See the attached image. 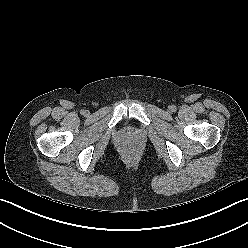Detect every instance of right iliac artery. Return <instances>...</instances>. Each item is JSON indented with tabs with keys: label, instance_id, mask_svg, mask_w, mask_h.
Listing matches in <instances>:
<instances>
[{
	"label": "right iliac artery",
	"instance_id": "obj_1",
	"mask_svg": "<svg viewBox=\"0 0 248 248\" xmlns=\"http://www.w3.org/2000/svg\"><path fill=\"white\" fill-rule=\"evenodd\" d=\"M81 114H85V110H81Z\"/></svg>",
	"mask_w": 248,
	"mask_h": 248
}]
</instances>
